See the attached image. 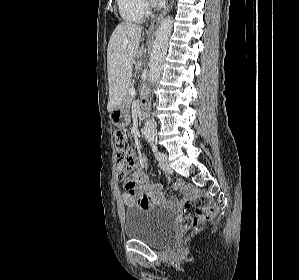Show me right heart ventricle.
I'll return each mask as SVG.
<instances>
[{
  "label": "right heart ventricle",
  "instance_id": "obj_1",
  "mask_svg": "<svg viewBox=\"0 0 299 280\" xmlns=\"http://www.w3.org/2000/svg\"><path fill=\"white\" fill-rule=\"evenodd\" d=\"M121 17L132 23L142 22L148 15L145 0H116Z\"/></svg>",
  "mask_w": 299,
  "mask_h": 280
}]
</instances>
